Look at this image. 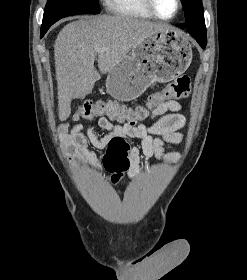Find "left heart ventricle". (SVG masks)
Here are the masks:
<instances>
[{"instance_id": "1", "label": "left heart ventricle", "mask_w": 247, "mask_h": 280, "mask_svg": "<svg viewBox=\"0 0 247 280\" xmlns=\"http://www.w3.org/2000/svg\"><path fill=\"white\" fill-rule=\"evenodd\" d=\"M153 3L157 13L164 18L172 17L177 8L176 0H153Z\"/></svg>"}]
</instances>
